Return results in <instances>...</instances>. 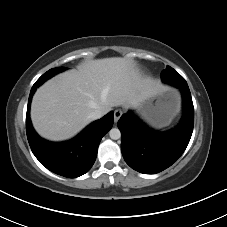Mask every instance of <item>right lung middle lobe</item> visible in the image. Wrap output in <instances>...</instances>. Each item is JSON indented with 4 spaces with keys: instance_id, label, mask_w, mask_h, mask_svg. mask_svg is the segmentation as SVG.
Segmentation results:
<instances>
[{
    "instance_id": "right-lung-middle-lobe-1",
    "label": "right lung middle lobe",
    "mask_w": 227,
    "mask_h": 227,
    "mask_svg": "<svg viewBox=\"0 0 227 227\" xmlns=\"http://www.w3.org/2000/svg\"><path fill=\"white\" fill-rule=\"evenodd\" d=\"M66 68L65 67H57V68H52L48 70L46 73H44L34 85L40 86L43 82H45L47 79L51 78L57 73H60L64 71Z\"/></svg>"
}]
</instances>
